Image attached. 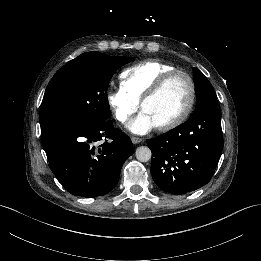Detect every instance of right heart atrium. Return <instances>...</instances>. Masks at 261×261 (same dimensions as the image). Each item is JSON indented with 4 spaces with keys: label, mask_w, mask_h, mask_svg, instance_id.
<instances>
[{
    "label": "right heart atrium",
    "mask_w": 261,
    "mask_h": 261,
    "mask_svg": "<svg viewBox=\"0 0 261 261\" xmlns=\"http://www.w3.org/2000/svg\"><path fill=\"white\" fill-rule=\"evenodd\" d=\"M106 100L117 121L124 125L132 120L139 108V102L121 88L108 91Z\"/></svg>",
    "instance_id": "obj_1"
}]
</instances>
